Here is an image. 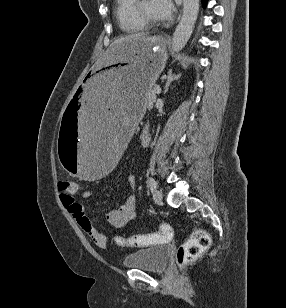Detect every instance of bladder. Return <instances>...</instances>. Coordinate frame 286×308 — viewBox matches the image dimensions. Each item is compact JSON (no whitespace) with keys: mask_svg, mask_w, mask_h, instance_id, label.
Instances as JSON below:
<instances>
[{"mask_svg":"<svg viewBox=\"0 0 286 308\" xmlns=\"http://www.w3.org/2000/svg\"><path fill=\"white\" fill-rule=\"evenodd\" d=\"M169 259V248L167 245H155L139 249L128 255L123 265L126 268L142 269L146 271H164Z\"/></svg>","mask_w":286,"mask_h":308,"instance_id":"1","label":"bladder"}]
</instances>
